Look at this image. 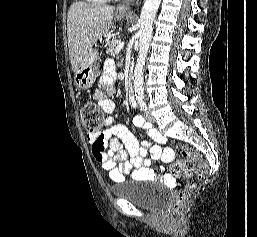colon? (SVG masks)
Returning a JSON list of instances; mask_svg holds the SVG:
<instances>
[{
	"mask_svg": "<svg viewBox=\"0 0 257 237\" xmlns=\"http://www.w3.org/2000/svg\"><path fill=\"white\" fill-rule=\"evenodd\" d=\"M81 119L83 126L91 133H99L103 125V115L98 106L87 101L83 104L81 109ZM181 154L186 159L182 162H176L171 166V170L174 175L188 177L191 176L194 171V162H198L197 173L199 177H202L206 170L205 163L201 160L200 153L193 147L184 145L181 148ZM194 185L189 184L184 190H182L174 203L173 213L180 214L184 206L188 203L190 192L193 190Z\"/></svg>",
	"mask_w": 257,
	"mask_h": 237,
	"instance_id": "colon-1",
	"label": "colon"
}]
</instances>
